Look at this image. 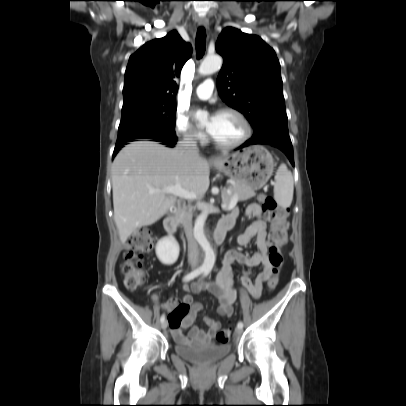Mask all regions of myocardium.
Masks as SVG:
<instances>
[{
  "instance_id": "obj_1",
  "label": "myocardium",
  "mask_w": 406,
  "mask_h": 406,
  "mask_svg": "<svg viewBox=\"0 0 406 406\" xmlns=\"http://www.w3.org/2000/svg\"><path fill=\"white\" fill-rule=\"evenodd\" d=\"M222 113H231L234 114L242 123L244 132L241 138H239L237 141L233 143H222L218 141L209 131H208V136L210 140L216 145V147L221 148V149H234L242 144H244L252 134V127L246 116L238 109L234 107H223L217 111V114H222Z\"/></svg>"
}]
</instances>
